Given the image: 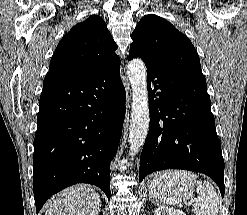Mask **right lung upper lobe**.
Listing matches in <instances>:
<instances>
[{
    "mask_svg": "<svg viewBox=\"0 0 247 215\" xmlns=\"http://www.w3.org/2000/svg\"><path fill=\"white\" fill-rule=\"evenodd\" d=\"M116 49L117 44L104 20L93 15L63 36L51 58L49 70L73 78L87 77L119 62Z\"/></svg>",
    "mask_w": 247,
    "mask_h": 215,
    "instance_id": "right-lung-upper-lobe-1",
    "label": "right lung upper lobe"
}]
</instances>
